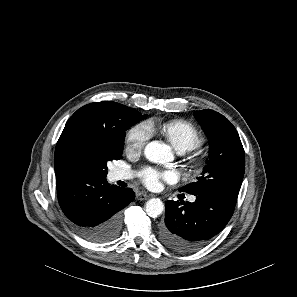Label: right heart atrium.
I'll return each instance as SVG.
<instances>
[{
	"label": "right heart atrium",
	"mask_w": 297,
	"mask_h": 297,
	"mask_svg": "<svg viewBox=\"0 0 297 297\" xmlns=\"http://www.w3.org/2000/svg\"><path fill=\"white\" fill-rule=\"evenodd\" d=\"M152 136V130L148 123H139L132 127L126 135V149L135 154L142 152Z\"/></svg>",
	"instance_id": "right-heart-atrium-1"
}]
</instances>
